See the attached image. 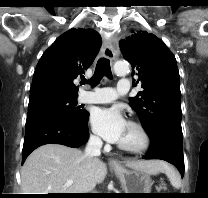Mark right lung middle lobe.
Wrapping results in <instances>:
<instances>
[{"label": "right lung middle lobe", "mask_w": 208, "mask_h": 198, "mask_svg": "<svg viewBox=\"0 0 208 198\" xmlns=\"http://www.w3.org/2000/svg\"><path fill=\"white\" fill-rule=\"evenodd\" d=\"M76 98L54 100L28 107L26 122L45 115H61L73 119L79 123L88 120L89 113L76 106Z\"/></svg>", "instance_id": "1"}]
</instances>
